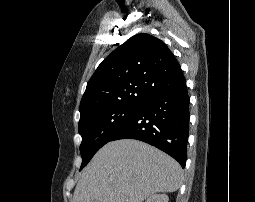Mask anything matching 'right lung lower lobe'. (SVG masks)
<instances>
[{
	"mask_svg": "<svg viewBox=\"0 0 255 202\" xmlns=\"http://www.w3.org/2000/svg\"><path fill=\"white\" fill-rule=\"evenodd\" d=\"M189 100L186 83L151 97L111 141L127 138L144 141L172 156L184 168L189 135Z\"/></svg>",
	"mask_w": 255,
	"mask_h": 202,
	"instance_id": "1",
	"label": "right lung lower lobe"
}]
</instances>
